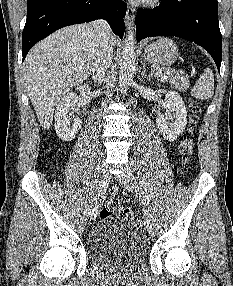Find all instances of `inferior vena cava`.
<instances>
[{"instance_id":"inferior-vena-cava-1","label":"inferior vena cava","mask_w":233,"mask_h":286,"mask_svg":"<svg viewBox=\"0 0 233 286\" xmlns=\"http://www.w3.org/2000/svg\"><path fill=\"white\" fill-rule=\"evenodd\" d=\"M93 26L98 30L99 35L92 64V74L94 82L101 84L112 63L113 45L111 44L110 28L106 22L98 20L93 22Z\"/></svg>"}]
</instances>
